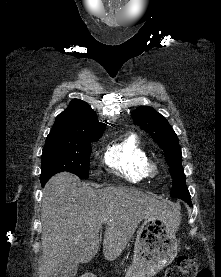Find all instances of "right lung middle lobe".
<instances>
[{"mask_svg": "<svg viewBox=\"0 0 221 277\" xmlns=\"http://www.w3.org/2000/svg\"><path fill=\"white\" fill-rule=\"evenodd\" d=\"M101 135L49 134L42 154L41 184L62 171L74 173L81 179L88 178L91 142Z\"/></svg>", "mask_w": 221, "mask_h": 277, "instance_id": "1", "label": "right lung middle lobe"}]
</instances>
